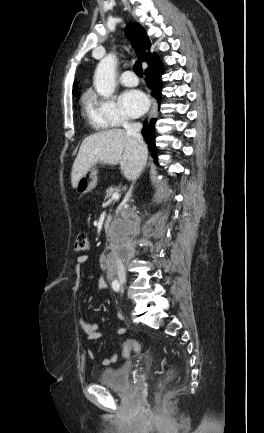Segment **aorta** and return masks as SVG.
I'll list each match as a JSON object with an SVG mask.
<instances>
[{"label": "aorta", "instance_id": "obj_1", "mask_svg": "<svg viewBox=\"0 0 264 433\" xmlns=\"http://www.w3.org/2000/svg\"><path fill=\"white\" fill-rule=\"evenodd\" d=\"M116 61V56L109 54L99 62L95 71V89L98 94L106 98L110 97L115 89L114 73Z\"/></svg>", "mask_w": 264, "mask_h": 433}]
</instances>
